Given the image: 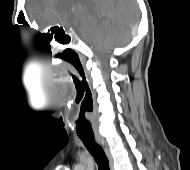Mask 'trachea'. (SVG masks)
I'll return each instance as SVG.
<instances>
[{
	"label": "trachea",
	"instance_id": "obj_1",
	"mask_svg": "<svg viewBox=\"0 0 190 170\" xmlns=\"http://www.w3.org/2000/svg\"><path fill=\"white\" fill-rule=\"evenodd\" d=\"M80 139L83 141L84 145L88 149V151L93 155L99 170H110L109 169V162L108 159L102 150L101 146H99L94 136L87 135V136H79Z\"/></svg>",
	"mask_w": 190,
	"mask_h": 170
}]
</instances>
